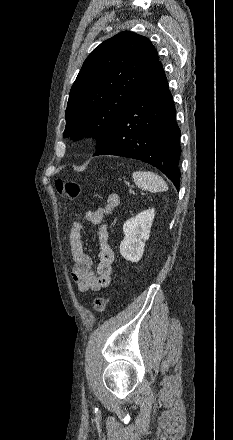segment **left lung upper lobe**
Wrapping results in <instances>:
<instances>
[{
  "label": "left lung upper lobe",
  "mask_w": 233,
  "mask_h": 440,
  "mask_svg": "<svg viewBox=\"0 0 233 440\" xmlns=\"http://www.w3.org/2000/svg\"><path fill=\"white\" fill-rule=\"evenodd\" d=\"M159 62L144 36L121 32L101 43L84 61L71 88L63 137L97 139V149Z\"/></svg>",
  "instance_id": "5c2ea615"
}]
</instances>
